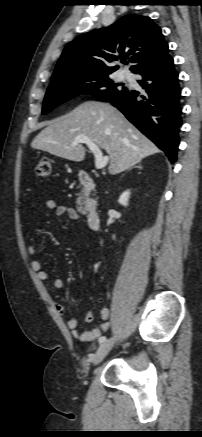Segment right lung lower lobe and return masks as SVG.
<instances>
[{
  "mask_svg": "<svg viewBox=\"0 0 202 437\" xmlns=\"http://www.w3.org/2000/svg\"><path fill=\"white\" fill-rule=\"evenodd\" d=\"M145 90H125L105 102L118 108L126 118L160 148L171 162L177 158L182 126L181 87L173 58L136 72Z\"/></svg>",
  "mask_w": 202,
  "mask_h": 437,
  "instance_id": "1",
  "label": "right lung lower lobe"
}]
</instances>
